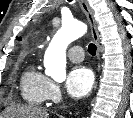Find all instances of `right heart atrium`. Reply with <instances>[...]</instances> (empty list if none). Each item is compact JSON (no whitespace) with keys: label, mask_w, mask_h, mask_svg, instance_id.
Returning <instances> with one entry per match:
<instances>
[{"label":"right heart atrium","mask_w":133,"mask_h":118,"mask_svg":"<svg viewBox=\"0 0 133 118\" xmlns=\"http://www.w3.org/2000/svg\"><path fill=\"white\" fill-rule=\"evenodd\" d=\"M61 96V89L57 82L50 80L47 84V99L51 101H56Z\"/></svg>","instance_id":"right-heart-atrium-1"}]
</instances>
